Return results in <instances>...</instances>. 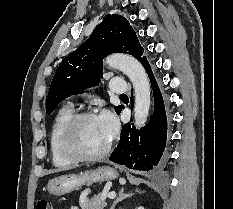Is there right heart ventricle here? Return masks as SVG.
I'll return each instance as SVG.
<instances>
[{
	"instance_id": "1",
	"label": "right heart ventricle",
	"mask_w": 233,
	"mask_h": 209,
	"mask_svg": "<svg viewBox=\"0 0 233 209\" xmlns=\"http://www.w3.org/2000/svg\"><path fill=\"white\" fill-rule=\"evenodd\" d=\"M73 115V108L71 105L62 107L57 113L49 137V146L53 165L58 168H67L74 164L73 161L67 159L61 149V138L64 127L68 120Z\"/></svg>"
}]
</instances>
